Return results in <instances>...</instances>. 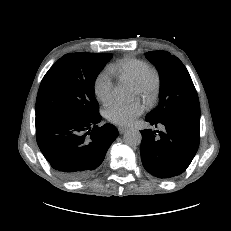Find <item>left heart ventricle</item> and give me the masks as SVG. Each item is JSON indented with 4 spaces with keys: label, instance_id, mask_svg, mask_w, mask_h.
<instances>
[{
    "label": "left heart ventricle",
    "instance_id": "left-heart-ventricle-1",
    "mask_svg": "<svg viewBox=\"0 0 231 231\" xmlns=\"http://www.w3.org/2000/svg\"><path fill=\"white\" fill-rule=\"evenodd\" d=\"M134 95L135 96H140V94L138 93V91L134 88Z\"/></svg>",
    "mask_w": 231,
    "mask_h": 231
}]
</instances>
